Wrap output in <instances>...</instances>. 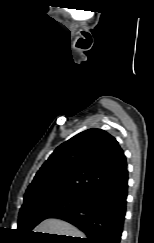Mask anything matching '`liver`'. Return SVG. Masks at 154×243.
<instances>
[{
    "label": "liver",
    "mask_w": 154,
    "mask_h": 243,
    "mask_svg": "<svg viewBox=\"0 0 154 243\" xmlns=\"http://www.w3.org/2000/svg\"><path fill=\"white\" fill-rule=\"evenodd\" d=\"M34 232H42L49 234L65 235L72 237L84 238V234L73 225L54 218H49L42 221L35 229Z\"/></svg>",
    "instance_id": "1"
}]
</instances>
